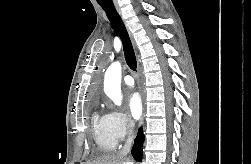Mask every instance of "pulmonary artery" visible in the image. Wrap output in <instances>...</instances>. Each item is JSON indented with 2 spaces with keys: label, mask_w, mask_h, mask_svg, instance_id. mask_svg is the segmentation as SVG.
Masks as SVG:
<instances>
[{
  "label": "pulmonary artery",
  "mask_w": 251,
  "mask_h": 164,
  "mask_svg": "<svg viewBox=\"0 0 251 164\" xmlns=\"http://www.w3.org/2000/svg\"><path fill=\"white\" fill-rule=\"evenodd\" d=\"M123 80H124V83L128 86L134 85V79L131 75H126Z\"/></svg>",
  "instance_id": "e3ab8cb5"
}]
</instances>
